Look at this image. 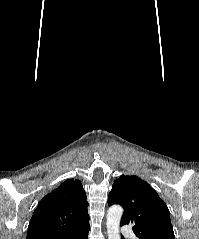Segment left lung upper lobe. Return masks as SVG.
Masks as SVG:
<instances>
[{
  "instance_id": "5c2ea615",
  "label": "left lung upper lobe",
  "mask_w": 199,
  "mask_h": 239,
  "mask_svg": "<svg viewBox=\"0 0 199 239\" xmlns=\"http://www.w3.org/2000/svg\"><path fill=\"white\" fill-rule=\"evenodd\" d=\"M124 208L121 226L132 224L140 239H175L167 205L137 176L121 175L109 193L108 205Z\"/></svg>"
}]
</instances>
